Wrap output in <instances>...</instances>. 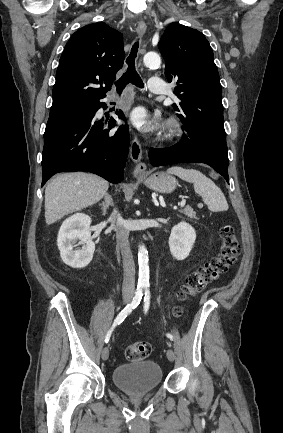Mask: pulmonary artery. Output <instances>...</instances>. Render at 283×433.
Listing matches in <instances>:
<instances>
[{"instance_id": "pulmonary-artery-1", "label": "pulmonary artery", "mask_w": 283, "mask_h": 433, "mask_svg": "<svg viewBox=\"0 0 283 433\" xmlns=\"http://www.w3.org/2000/svg\"><path fill=\"white\" fill-rule=\"evenodd\" d=\"M147 84H148V91L149 92L167 93V91H164V80H163V78H150L147 81Z\"/></svg>"}]
</instances>
